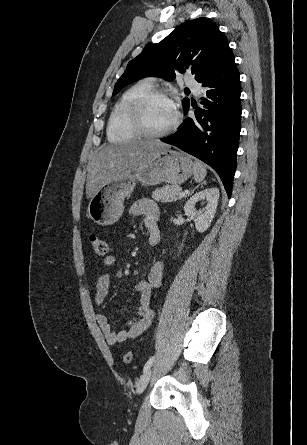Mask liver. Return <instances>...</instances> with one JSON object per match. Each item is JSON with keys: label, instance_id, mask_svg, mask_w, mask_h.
<instances>
[{"label": "liver", "instance_id": "obj_1", "mask_svg": "<svg viewBox=\"0 0 307 445\" xmlns=\"http://www.w3.org/2000/svg\"><path fill=\"white\" fill-rule=\"evenodd\" d=\"M170 146L161 140H132L124 144L102 146L88 166L86 198H92L103 184L111 182L116 176L131 174L140 164H147Z\"/></svg>", "mask_w": 307, "mask_h": 445}]
</instances>
